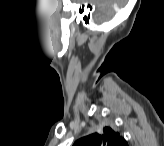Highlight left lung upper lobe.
<instances>
[{
  "label": "left lung upper lobe",
  "instance_id": "left-lung-upper-lobe-1",
  "mask_svg": "<svg viewBox=\"0 0 164 146\" xmlns=\"http://www.w3.org/2000/svg\"><path fill=\"white\" fill-rule=\"evenodd\" d=\"M127 146L125 139L113 129L105 127L99 132L78 139L74 146Z\"/></svg>",
  "mask_w": 164,
  "mask_h": 146
}]
</instances>
